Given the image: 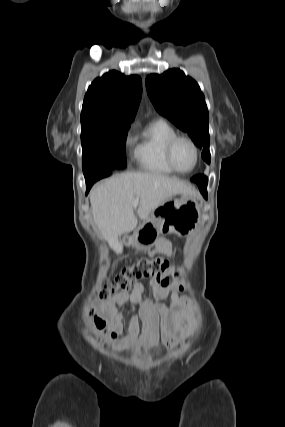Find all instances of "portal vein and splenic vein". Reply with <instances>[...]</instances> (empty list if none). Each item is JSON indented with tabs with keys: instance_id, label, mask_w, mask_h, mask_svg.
<instances>
[{
	"instance_id": "1",
	"label": "portal vein and splenic vein",
	"mask_w": 285,
	"mask_h": 427,
	"mask_svg": "<svg viewBox=\"0 0 285 427\" xmlns=\"http://www.w3.org/2000/svg\"><path fill=\"white\" fill-rule=\"evenodd\" d=\"M138 204H139V197H136L133 202V206L136 207Z\"/></svg>"
}]
</instances>
